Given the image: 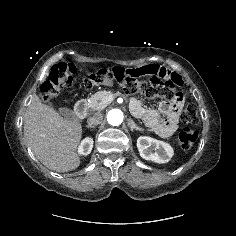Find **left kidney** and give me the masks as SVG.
<instances>
[{"instance_id":"1","label":"left kidney","mask_w":236,"mask_h":236,"mask_svg":"<svg viewBox=\"0 0 236 236\" xmlns=\"http://www.w3.org/2000/svg\"><path fill=\"white\" fill-rule=\"evenodd\" d=\"M137 148L143 159L159 164L170 161L174 154L170 144L147 136L137 139Z\"/></svg>"}]
</instances>
